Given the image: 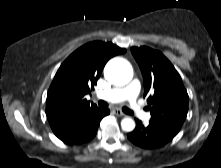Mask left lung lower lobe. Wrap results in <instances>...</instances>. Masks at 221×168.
Here are the masks:
<instances>
[{
    "mask_svg": "<svg viewBox=\"0 0 221 168\" xmlns=\"http://www.w3.org/2000/svg\"><path fill=\"white\" fill-rule=\"evenodd\" d=\"M178 132L155 122L150 121L143 124L136 120V128L127 134L128 139L135 145L145 148L154 149L161 147L172 140Z\"/></svg>",
    "mask_w": 221,
    "mask_h": 168,
    "instance_id": "1",
    "label": "left lung lower lobe"
}]
</instances>
